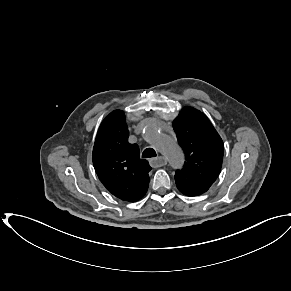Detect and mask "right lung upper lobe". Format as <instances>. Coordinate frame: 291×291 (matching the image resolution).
Segmentation results:
<instances>
[{"label":"right lung upper lobe","mask_w":291,"mask_h":291,"mask_svg":"<svg viewBox=\"0 0 291 291\" xmlns=\"http://www.w3.org/2000/svg\"><path fill=\"white\" fill-rule=\"evenodd\" d=\"M128 137L124 113L111 112L99 127L92 161L99 180L111 194L135 202L147 192L152 168L140 159L138 145L130 144Z\"/></svg>","instance_id":"1"}]
</instances>
